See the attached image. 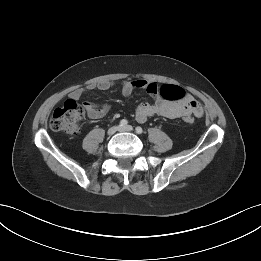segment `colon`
Returning a JSON list of instances; mask_svg holds the SVG:
<instances>
[{"mask_svg":"<svg viewBox=\"0 0 261 261\" xmlns=\"http://www.w3.org/2000/svg\"><path fill=\"white\" fill-rule=\"evenodd\" d=\"M161 95L168 101H181L185 97V91L175 85H164L161 87ZM83 108L74 100H67L63 106L54 110L50 127L54 131H61L66 134L76 135L80 130V121L83 118ZM184 121L193 122L192 115H186Z\"/></svg>","mask_w":261,"mask_h":261,"instance_id":"colon-1","label":"colon"}]
</instances>
